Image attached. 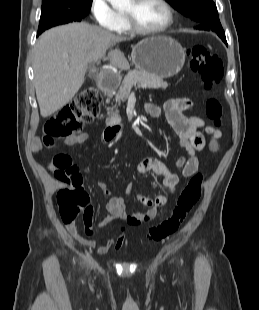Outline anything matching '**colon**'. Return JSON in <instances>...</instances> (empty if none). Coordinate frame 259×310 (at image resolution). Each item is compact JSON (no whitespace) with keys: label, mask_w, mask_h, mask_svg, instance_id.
<instances>
[{"label":"colon","mask_w":259,"mask_h":310,"mask_svg":"<svg viewBox=\"0 0 259 310\" xmlns=\"http://www.w3.org/2000/svg\"><path fill=\"white\" fill-rule=\"evenodd\" d=\"M190 67L199 74L206 89H211L223 77V66L218 55L202 45L188 48ZM101 94L93 86L81 90L74 101L51 117L44 126L43 141L53 146L58 139L80 134L85 124L92 123L99 115ZM205 112L215 127L222 125L223 107L214 98L206 101ZM54 175L66 187L57 194L58 212L62 222L69 226L90 209L89 193L82 186V175L67 154H57L53 158ZM204 176L195 174L180 192L172 214L161 223L153 226L148 233V242L157 243L175 233L201 195ZM125 231L124 226L119 227Z\"/></svg>","instance_id":"5ec220e1"}]
</instances>
